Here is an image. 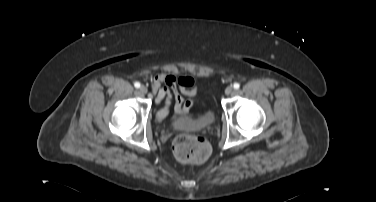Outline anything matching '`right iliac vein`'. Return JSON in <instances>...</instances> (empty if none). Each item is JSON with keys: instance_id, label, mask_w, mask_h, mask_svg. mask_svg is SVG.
Instances as JSON below:
<instances>
[{"instance_id": "obj_1", "label": "right iliac vein", "mask_w": 376, "mask_h": 202, "mask_svg": "<svg viewBox=\"0 0 376 202\" xmlns=\"http://www.w3.org/2000/svg\"><path fill=\"white\" fill-rule=\"evenodd\" d=\"M139 92L142 94V95H145L147 93V88L145 86H141L139 88Z\"/></svg>"}]
</instances>
